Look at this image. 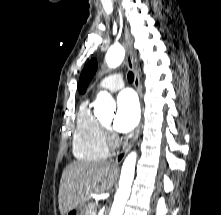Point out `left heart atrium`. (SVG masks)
Masks as SVG:
<instances>
[{"label":"left heart atrium","mask_w":221,"mask_h":215,"mask_svg":"<svg viewBox=\"0 0 221 215\" xmlns=\"http://www.w3.org/2000/svg\"><path fill=\"white\" fill-rule=\"evenodd\" d=\"M139 117V103L134 93L130 90L121 92L117 98L114 128L120 133L129 132L137 125Z\"/></svg>","instance_id":"left-heart-atrium-1"}]
</instances>
